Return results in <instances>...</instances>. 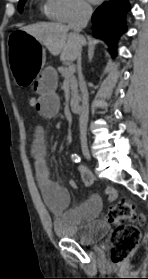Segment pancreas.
Listing matches in <instances>:
<instances>
[{"label":"pancreas","instance_id":"obj_1","mask_svg":"<svg viewBox=\"0 0 148 279\" xmlns=\"http://www.w3.org/2000/svg\"><path fill=\"white\" fill-rule=\"evenodd\" d=\"M59 72L61 73L62 77H64L65 79L68 80L69 85H70V89H71V100L72 101H77L78 100V83H77V79L74 76V72L73 73H69V68L67 67H60L58 68Z\"/></svg>","mask_w":148,"mask_h":279}]
</instances>
